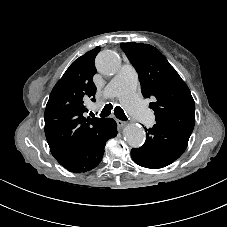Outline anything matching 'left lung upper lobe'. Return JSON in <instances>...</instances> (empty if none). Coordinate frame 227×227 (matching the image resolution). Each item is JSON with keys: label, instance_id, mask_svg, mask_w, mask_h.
<instances>
[{"label": "left lung upper lobe", "instance_id": "left-lung-upper-lobe-1", "mask_svg": "<svg viewBox=\"0 0 227 227\" xmlns=\"http://www.w3.org/2000/svg\"><path fill=\"white\" fill-rule=\"evenodd\" d=\"M135 67L144 98H153L149 108L156 122L191 135L195 124V103L191 92L159 50L149 44L121 43Z\"/></svg>", "mask_w": 227, "mask_h": 227}]
</instances>
